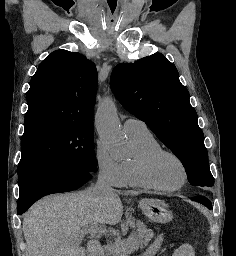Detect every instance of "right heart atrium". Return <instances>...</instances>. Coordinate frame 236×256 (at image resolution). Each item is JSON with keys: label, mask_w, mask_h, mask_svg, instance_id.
I'll use <instances>...</instances> for the list:
<instances>
[{"label": "right heart atrium", "mask_w": 236, "mask_h": 256, "mask_svg": "<svg viewBox=\"0 0 236 256\" xmlns=\"http://www.w3.org/2000/svg\"><path fill=\"white\" fill-rule=\"evenodd\" d=\"M95 119L97 120V118ZM93 160L100 180L115 188H121L126 185L122 162L111 156L100 140L95 144Z\"/></svg>", "instance_id": "1"}]
</instances>
